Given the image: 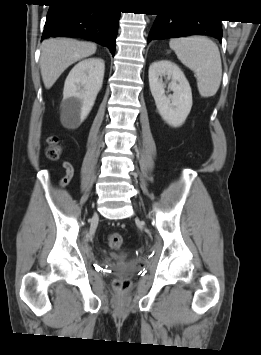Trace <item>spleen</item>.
<instances>
[{
	"instance_id": "3e777b00",
	"label": "spleen",
	"mask_w": 261,
	"mask_h": 355,
	"mask_svg": "<svg viewBox=\"0 0 261 355\" xmlns=\"http://www.w3.org/2000/svg\"><path fill=\"white\" fill-rule=\"evenodd\" d=\"M169 46L178 59L195 73L199 94L204 98L214 96L222 79L218 46L205 36L171 39Z\"/></svg>"
}]
</instances>
